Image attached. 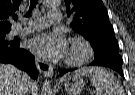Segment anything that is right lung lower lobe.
<instances>
[{
    "instance_id": "obj_1",
    "label": "right lung lower lobe",
    "mask_w": 135,
    "mask_h": 95,
    "mask_svg": "<svg viewBox=\"0 0 135 95\" xmlns=\"http://www.w3.org/2000/svg\"><path fill=\"white\" fill-rule=\"evenodd\" d=\"M20 39L0 42V63L13 64L27 72L31 78H37L34 56L19 47Z\"/></svg>"
}]
</instances>
